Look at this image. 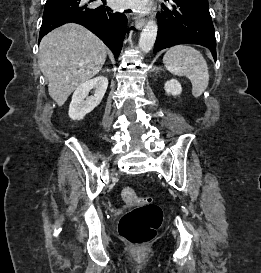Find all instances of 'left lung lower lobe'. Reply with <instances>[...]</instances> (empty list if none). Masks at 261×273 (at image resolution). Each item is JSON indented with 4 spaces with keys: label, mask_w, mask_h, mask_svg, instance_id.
Instances as JSON below:
<instances>
[{
    "label": "left lung lower lobe",
    "mask_w": 261,
    "mask_h": 273,
    "mask_svg": "<svg viewBox=\"0 0 261 273\" xmlns=\"http://www.w3.org/2000/svg\"><path fill=\"white\" fill-rule=\"evenodd\" d=\"M158 14V34L154 53L178 44L207 47L216 61V39L209 13L208 0H165Z\"/></svg>",
    "instance_id": "obj_1"
}]
</instances>
